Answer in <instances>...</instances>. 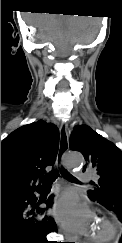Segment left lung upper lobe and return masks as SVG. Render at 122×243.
<instances>
[{
  "label": "left lung upper lobe",
  "mask_w": 122,
  "mask_h": 243,
  "mask_svg": "<svg viewBox=\"0 0 122 243\" xmlns=\"http://www.w3.org/2000/svg\"><path fill=\"white\" fill-rule=\"evenodd\" d=\"M70 148L80 151L100 175L98 184L88 191L90 199L115 213L122 222V198H117L119 194L114 191L122 188V151L87 125L74 128Z\"/></svg>",
  "instance_id": "5c2ea615"
}]
</instances>
